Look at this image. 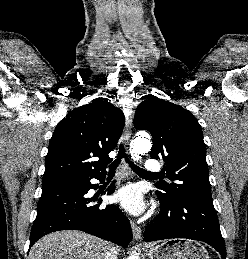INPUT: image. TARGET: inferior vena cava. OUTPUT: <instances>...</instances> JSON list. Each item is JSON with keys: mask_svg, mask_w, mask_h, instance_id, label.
<instances>
[{"mask_svg": "<svg viewBox=\"0 0 248 259\" xmlns=\"http://www.w3.org/2000/svg\"><path fill=\"white\" fill-rule=\"evenodd\" d=\"M104 259H117V252L114 248H110Z\"/></svg>", "mask_w": 248, "mask_h": 259, "instance_id": "602c4592", "label": "inferior vena cava"}]
</instances>
